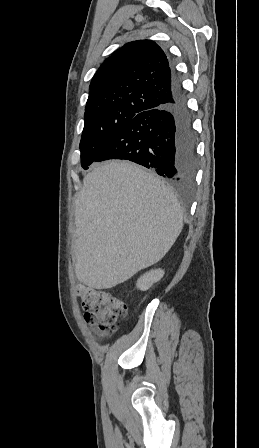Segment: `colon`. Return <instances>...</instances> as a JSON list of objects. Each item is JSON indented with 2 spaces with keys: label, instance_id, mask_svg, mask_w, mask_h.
<instances>
[{
  "label": "colon",
  "instance_id": "colon-1",
  "mask_svg": "<svg viewBox=\"0 0 259 448\" xmlns=\"http://www.w3.org/2000/svg\"><path fill=\"white\" fill-rule=\"evenodd\" d=\"M85 320L102 334L110 335L117 330V321L127 314V305L109 291L81 287L78 291Z\"/></svg>",
  "mask_w": 259,
  "mask_h": 448
}]
</instances>
